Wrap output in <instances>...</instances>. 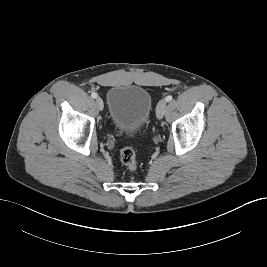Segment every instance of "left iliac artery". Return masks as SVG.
Instances as JSON below:
<instances>
[{
    "mask_svg": "<svg viewBox=\"0 0 267 267\" xmlns=\"http://www.w3.org/2000/svg\"><path fill=\"white\" fill-rule=\"evenodd\" d=\"M172 98H173V97H172L171 95H168V96L166 97V101L169 102V101L172 100Z\"/></svg>",
    "mask_w": 267,
    "mask_h": 267,
    "instance_id": "44dca946",
    "label": "left iliac artery"
}]
</instances>
